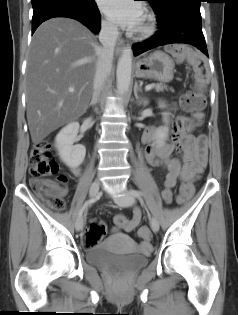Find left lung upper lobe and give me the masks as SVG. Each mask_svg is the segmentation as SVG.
<instances>
[{"instance_id":"left-lung-upper-lobe-1","label":"left lung upper lobe","mask_w":238,"mask_h":315,"mask_svg":"<svg viewBox=\"0 0 238 315\" xmlns=\"http://www.w3.org/2000/svg\"><path fill=\"white\" fill-rule=\"evenodd\" d=\"M149 1L153 7L154 11L162 9V7L172 4L173 2L180 1V0H146Z\"/></svg>"}]
</instances>
